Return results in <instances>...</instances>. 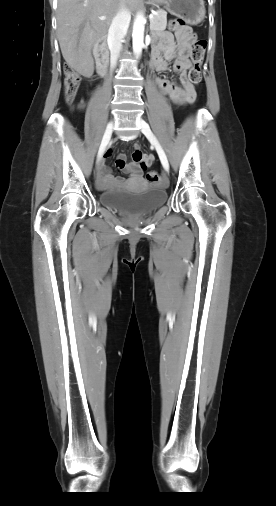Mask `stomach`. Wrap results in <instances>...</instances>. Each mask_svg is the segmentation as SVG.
Instances as JSON below:
<instances>
[{
    "label": "stomach",
    "mask_w": 276,
    "mask_h": 506,
    "mask_svg": "<svg viewBox=\"0 0 276 506\" xmlns=\"http://www.w3.org/2000/svg\"><path fill=\"white\" fill-rule=\"evenodd\" d=\"M165 7L172 15L198 24L205 18L204 0H166Z\"/></svg>",
    "instance_id": "1"
}]
</instances>
